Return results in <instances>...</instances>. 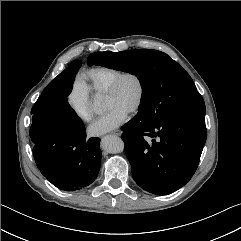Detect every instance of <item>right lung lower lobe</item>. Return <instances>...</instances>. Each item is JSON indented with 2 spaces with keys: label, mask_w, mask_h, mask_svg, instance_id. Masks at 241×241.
<instances>
[{
  "label": "right lung lower lobe",
  "mask_w": 241,
  "mask_h": 241,
  "mask_svg": "<svg viewBox=\"0 0 241 241\" xmlns=\"http://www.w3.org/2000/svg\"><path fill=\"white\" fill-rule=\"evenodd\" d=\"M85 130L56 128L52 134L33 138L38 169L61 190L82 189L98 175L102 158L100 139H86Z\"/></svg>",
  "instance_id": "obj_1"
}]
</instances>
